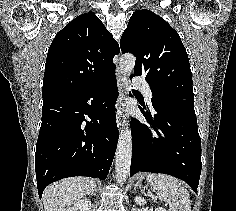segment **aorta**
<instances>
[{
  "mask_svg": "<svg viewBox=\"0 0 236 211\" xmlns=\"http://www.w3.org/2000/svg\"><path fill=\"white\" fill-rule=\"evenodd\" d=\"M136 58L134 55L126 53L120 59V73L122 75V82L124 90L127 92L129 88V76L135 67ZM122 130L119 133V140L117 144L115 157V171L117 183L123 184L128 174L130 173L131 158H132V137L131 131L123 121ZM126 126V127H125Z\"/></svg>",
  "mask_w": 236,
  "mask_h": 211,
  "instance_id": "1",
  "label": "aorta"
}]
</instances>
